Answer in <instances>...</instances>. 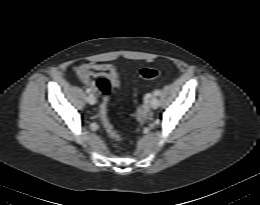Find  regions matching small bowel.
<instances>
[{
  "label": "small bowel",
  "mask_w": 260,
  "mask_h": 205,
  "mask_svg": "<svg viewBox=\"0 0 260 205\" xmlns=\"http://www.w3.org/2000/svg\"><path fill=\"white\" fill-rule=\"evenodd\" d=\"M75 74L87 86V89L94 93H97L95 78L98 76L109 77L115 88L120 85L118 70L111 64L83 63L76 67Z\"/></svg>",
  "instance_id": "small-bowel-1"
}]
</instances>
